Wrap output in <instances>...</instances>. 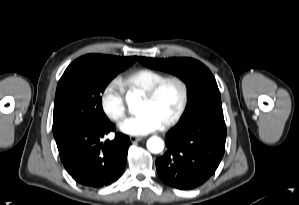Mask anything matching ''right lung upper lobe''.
Wrapping results in <instances>:
<instances>
[{
	"label": "right lung upper lobe",
	"mask_w": 299,
	"mask_h": 205,
	"mask_svg": "<svg viewBox=\"0 0 299 205\" xmlns=\"http://www.w3.org/2000/svg\"><path fill=\"white\" fill-rule=\"evenodd\" d=\"M136 56L132 57H117L109 55H99V54H88L78 58L80 62H92V61H107L112 63H128L133 64L136 61Z\"/></svg>",
	"instance_id": "obj_1"
}]
</instances>
